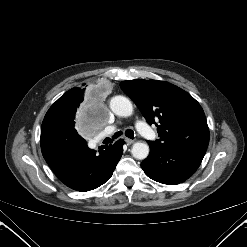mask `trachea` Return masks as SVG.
I'll use <instances>...</instances> for the list:
<instances>
[{
  "label": "trachea",
  "mask_w": 247,
  "mask_h": 247,
  "mask_svg": "<svg viewBox=\"0 0 247 247\" xmlns=\"http://www.w3.org/2000/svg\"><path fill=\"white\" fill-rule=\"evenodd\" d=\"M120 135H122V131H119V132L115 133L114 136L112 137V139L106 138L105 141H106L107 143L112 142V140H113L114 138H117V137L120 136ZM125 135H126L128 138H130V139H134V132H133V130H131V129H127V130L125 131Z\"/></svg>",
  "instance_id": "3493384b"
}]
</instances>
